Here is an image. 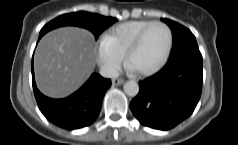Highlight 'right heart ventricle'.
I'll use <instances>...</instances> for the list:
<instances>
[{
	"label": "right heart ventricle",
	"mask_w": 238,
	"mask_h": 145,
	"mask_svg": "<svg viewBox=\"0 0 238 145\" xmlns=\"http://www.w3.org/2000/svg\"><path fill=\"white\" fill-rule=\"evenodd\" d=\"M151 22V20H132L118 24L103 34L102 41L124 56L138 33Z\"/></svg>",
	"instance_id": "right-heart-ventricle-1"
}]
</instances>
